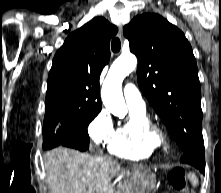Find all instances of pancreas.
<instances>
[{"mask_svg":"<svg viewBox=\"0 0 221 193\" xmlns=\"http://www.w3.org/2000/svg\"><path fill=\"white\" fill-rule=\"evenodd\" d=\"M126 187H127V193H133V181L127 180L125 181Z\"/></svg>","mask_w":221,"mask_h":193,"instance_id":"pancreas-1","label":"pancreas"}]
</instances>
